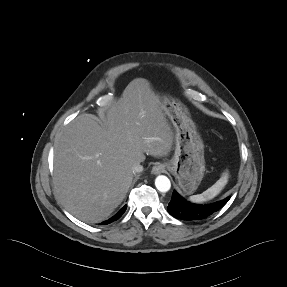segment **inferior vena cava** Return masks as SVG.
<instances>
[{
    "instance_id": "1",
    "label": "inferior vena cava",
    "mask_w": 287,
    "mask_h": 287,
    "mask_svg": "<svg viewBox=\"0 0 287 287\" xmlns=\"http://www.w3.org/2000/svg\"><path fill=\"white\" fill-rule=\"evenodd\" d=\"M143 171V166L140 164V163H135L133 166H132V172L133 173H140Z\"/></svg>"
}]
</instances>
